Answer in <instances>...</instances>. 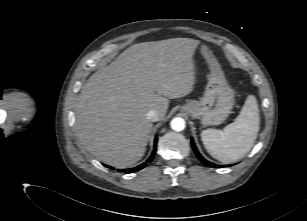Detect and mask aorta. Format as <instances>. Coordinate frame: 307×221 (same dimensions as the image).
Segmentation results:
<instances>
[{
	"instance_id": "aorta-1",
	"label": "aorta",
	"mask_w": 307,
	"mask_h": 221,
	"mask_svg": "<svg viewBox=\"0 0 307 221\" xmlns=\"http://www.w3.org/2000/svg\"><path fill=\"white\" fill-rule=\"evenodd\" d=\"M171 128L175 131H182L185 129V120L181 117H175L171 120Z\"/></svg>"
}]
</instances>
